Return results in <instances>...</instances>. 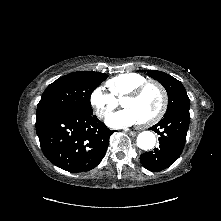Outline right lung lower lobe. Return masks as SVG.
Listing matches in <instances>:
<instances>
[{
	"label": "right lung lower lobe",
	"instance_id": "obj_1",
	"mask_svg": "<svg viewBox=\"0 0 221 221\" xmlns=\"http://www.w3.org/2000/svg\"><path fill=\"white\" fill-rule=\"evenodd\" d=\"M36 132L45 157L73 173L96 167L113 133L93 113L72 109L36 119Z\"/></svg>",
	"mask_w": 221,
	"mask_h": 221
}]
</instances>
